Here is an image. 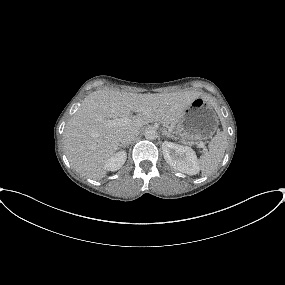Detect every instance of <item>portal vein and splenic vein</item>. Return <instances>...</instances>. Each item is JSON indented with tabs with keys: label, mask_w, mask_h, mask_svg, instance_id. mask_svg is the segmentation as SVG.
Instances as JSON below:
<instances>
[{
	"label": "portal vein and splenic vein",
	"mask_w": 285,
	"mask_h": 285,
	"mask_svg": "<svg viewBox=\"0 0 285 285\" xmlns=\"http://www.w3.org/2000/svg\"><path fill=\"white\" fill-rule=\"evenodd\" d=\"M128 120H129V119L126 118V117H123V118H116V119L108 120V121H107V124H108V125H120V124H123V123H127ZM196 146L203 148V147H204V143H203V142L196 143Z\"/></svg>",
	"instance_id": "1"
}]
</instances>
